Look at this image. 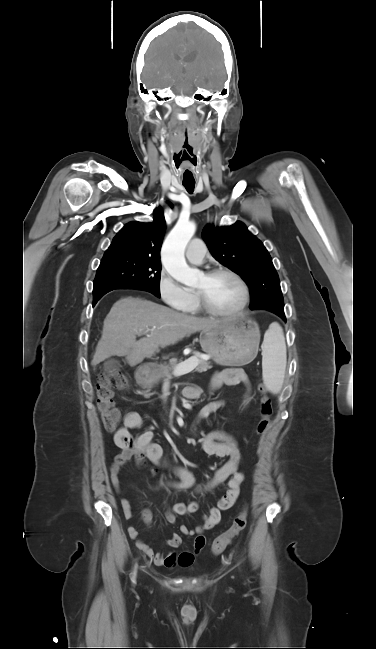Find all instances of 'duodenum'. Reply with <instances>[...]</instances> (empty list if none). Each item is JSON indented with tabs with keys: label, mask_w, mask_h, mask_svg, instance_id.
Returning <instances> with one entry per match:
<instances>
[{
	"label": "duodenum",
	"mask_w": 376,
	"mask_h": 649,
	"mask_svg": "<svg viewBox=\"0 0 376 649\" xmlns=\"http://www.w3.org/2000/svg\"><path fill=\"white\" fill-rule=\"evenodd\" d=\"M147 377H148V370H147V368H141V369L139 370V372H138V381H139L140 383H143V382L146 381Z\"/></svg>",
	"instance_id": "1"
}]
</instances>
